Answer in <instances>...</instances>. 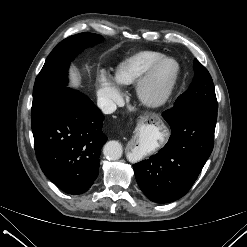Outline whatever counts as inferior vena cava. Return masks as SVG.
<instances>
[{"instance_id":"1","label":"inferior vena cava","mask_w":247,"mask_h":247,"mask_svg":"<svg viewBox=\"0 0 247 247\" xmlns=\"http://www.w3.org/2000/svg\"><path fill=\"white\" fill-rule=\"evenodd\" d=\"M97 105L104 114H111L117 109L116 104L111 99L104 97L98 98Z\"/></svg>"}]
</instances>
